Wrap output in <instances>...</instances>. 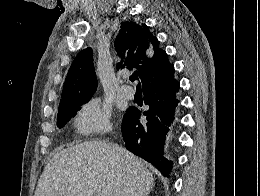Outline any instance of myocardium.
Returning <instances> with one entry per match:
<instances>
[{
  "instance_id": "obj_1",
  "label": "myocardium",
  "mask_w": 260,
  "mask_h": 196,
  "mask_svg": "<svg viewBox=\"0 0 260 196\" xmlns=\"http://www.w3.org/2000/svg\"><path fill=\"white\" fill-rule=\"evenodd\" d=\"M89 192H96V190H88ZM50 192H55L54 190H50Z\"/></svg>"
}]
</instances>
